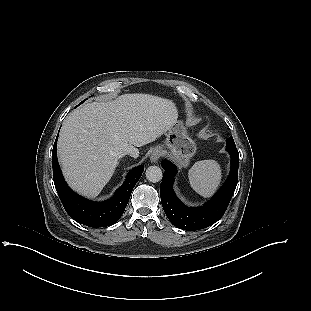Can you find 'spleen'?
<instances>
[{"label": "spleen", "instance_id": "obj_1", "mask_svg": "<svg viewBox=\"0 0 311 311\" xmlns=\"http://www.w3.org/2000/svg\"><path fill=\"white\" fill-rule=\"evenodd\" d=\"M188 177L195 192L210 197L221 182V168L215 160L198 161L189 170Z\"/></svg>", "mask_w": 311, "mask_h": 311}]
</instances>
